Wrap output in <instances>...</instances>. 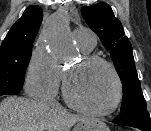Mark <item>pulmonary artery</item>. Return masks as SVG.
<instances>
[{
    "mask_svg": "<svg viewBox=\"0 0 151 131\" xmlns=\"http://www.w3.org/2000/svg\"><path fill=\"white\" fill-rule=\"evenodd\" d=\"M74 39L76 40L78 46L86 52L91 51L96 44L95 34L86 28H76L73 31Z\"/></svg>",
    "mask_w": 151,
    "mask_h": 131,
    "instance_id": "e3ab8cb5",
    "label": "pulmonary artery"
}]
</instances>
